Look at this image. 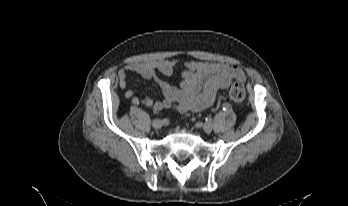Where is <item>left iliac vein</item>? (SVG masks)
I'll return each mask as SVG.
<instances>
[{
  "mask_svg": "<svg viewBox=\"0 0 348 206\" xmlns=\"http://www.w3.org/2000/svg\"><path fill=\"white\" fill-rule=\"evenodd\" d=\"M202 128L203 130L206 132V133H211L212 132V129H213V126L211 123H204L202 125Z\"/></svg>",
  "mask_w": 348,
  "mask_h": 206,
  "instance_id": "left-iliac-vein-1",
  "label": "left iliac vein"
}]
</instances>
